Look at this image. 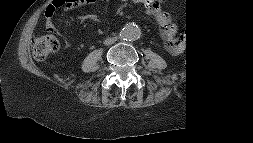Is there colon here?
Here are the masks:
<instances>
[{
  "instance_id": "5ec220e1",
  "label": "colon",
  "mask_w": 253,
  "mask_h": 143,
  "mask_svg": "<svg viewBox=\"0 0 253 143\" xmlns=\"http://www.w3.org/2000/svg\"><path fill=\"white\" fill-rule=\"evenodd\" d=\"M93 0H53L47 7L46 11L49 14H53L58 8H74L86 3H90ZM160 0H141V3L148 5L152 8L159 4ZM184 42L187 45L188 55L186 63L191 64L194 61V46L196 35L194 30L187 28L183 34ZM60 48L58 38L54 34H44L36 37L33 42V56L36 60L42 61L48 55L56 53Z\"/></svg>"
}]
</instances>
